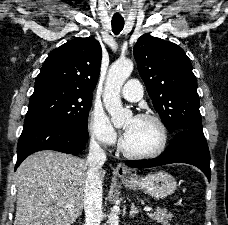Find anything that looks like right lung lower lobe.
Segmentation results:
<instances>
[{
  "instance_id": "98d812e1",
  "label": "right lung lower lobe",
  "mask_w": 228,
  "mask_h": 225,
  "mask_svg": "<svg viewBox=\"0 0 228 225\" xmlns=\"http://www.w3.org/2000/svg\"><path fill=\"white\" fill-rule=\"evenodd\" d=\"M88 131L76 124L55 118L27 120L17 146L15 170L30 154L41 150L77 153L83 150Z\"/></svg>"
}]
</instances>
